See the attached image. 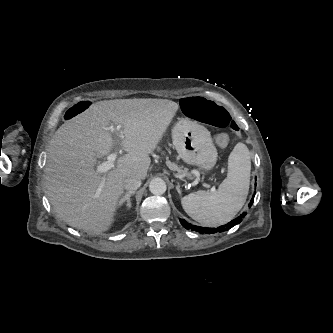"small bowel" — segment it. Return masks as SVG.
Listing matches in <instances>:
<instances>
[{"label": "small bowel", "instance_id": "c3829d8e", "mask_svg": "<svg viewBox=\"0 0 333 333\" xmlns=\"http://www.w3.org/2000/svg\"><path fill=\"white\" fill-rule=\"evenodd\" d=\"M233 136L229 131H222L220 134H215L211 138V143L215 147L224 148L233 143Z\"/></svg>", "mask_w": 333, "mask_h": 333}]
</instances>
